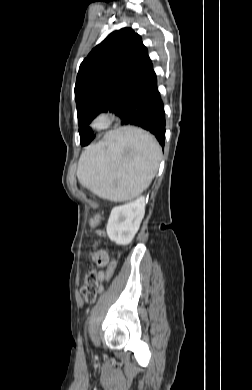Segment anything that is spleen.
Returning <instances> with one entry per match:
<instances>
[{
	"mask_svg": "<svg viewBox=\"0 0 252 390\" xmlns=\"http://www.w3.org/2000/svg\"><path fill=\"white\" fill-rule=\"evenodd\" d=\"M161 148L149 133L134 127L108 132L81 155L77 177L97 196L123 202L138 197L158 169Z\"/></svg>",
	"mask_w": 252,
	"mask_h": 390,
	"instance_id": "1",
	"label": "spleen"
}]
</instances>
